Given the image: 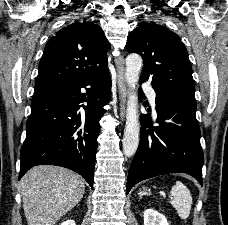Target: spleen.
<instances>
[{"label": "spleen", "instance_id": "spleen-1", "mask_svg": "<svg viewBox=\"0 0 228 225\" xmlns=\"http://www.w3.org/2000/svg\"><path fill=\"white\" fill-rule=\"evenodd\" d=\"M172 207L176 209L180 219H188L193 203L192 195L180 181H176L169 195Z\"/></svg>", "mask_w": 228, "mask_h": 225}]
</instances>
